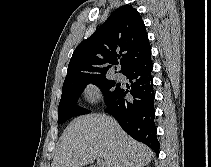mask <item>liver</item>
I'll use <instances>...</instances> for the list:
<instances>
[{
  "label": "liver",
  "mask_w": 211,
  "mask_h": 167,
  "mask_svg": "<svg viewBox=\"0 0 211 167\" xmlns=\"http://www.w3.org/2000/svg\"><path fill=\"white\" fill-rule=\"evenodd\" d=\"M153 152L133 140L110 116L74 119L60 137L51 167H84L103 158L106 167H144Z\"/></svg>",
  "instance_id": "6515ba94"
}]
</instances>
